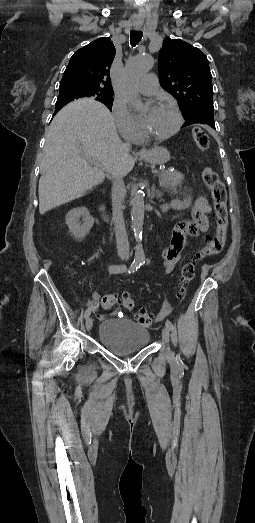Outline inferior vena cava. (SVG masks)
<instances>
[{
	"mask_svg": "<svg viewBox=\"0 0 255 523\" xmlns=\"http://www.w3.org/2000/svg\"><path fill=\"white\" fill-rule=\"evenodd\" d=\"M126 146H128V144H126ZM121 156L124 158V160L129 158L128 150H122ZM124 176H126V174H124L123 170H116V172H112V178H114L112 186V220L114 224L116 244L119 254H129L128 236L123 218V206L121 204L122 196L125 190L123 182Z\"/></svg>",
	"mask_w": 255,
	"mask_h": 523,
	"instance_id": "1",
	"label": "inferior vena cava"
}]
</instances>
